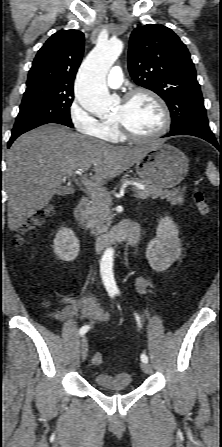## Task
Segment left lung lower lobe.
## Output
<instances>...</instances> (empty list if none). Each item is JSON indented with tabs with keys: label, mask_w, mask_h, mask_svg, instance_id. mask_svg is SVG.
Segmentation results:
<instances>
[{
	"label": "left lung lower lobe",
	"mask_w": 222,
	"mask_h": 447,
	"mask_svg": "<svg viewBox=\"0 0 222 447\" xmlns=\"http://www.w3.org/2000/svg\"><path fill=\"white\" fill-rule=\"evenodd\" d=\"M192 135V136H196L199 138H202L208 142H210L211 144H213L218 150H220L222 152V147L219 146L217 140L215 139L213 134H206L203 133L201 131H198L196 129L193 128H179L176 130H171L170 133L166 136H172V135Z\"/></svg>",
	"instance_id": "1"
}]
</instances>
